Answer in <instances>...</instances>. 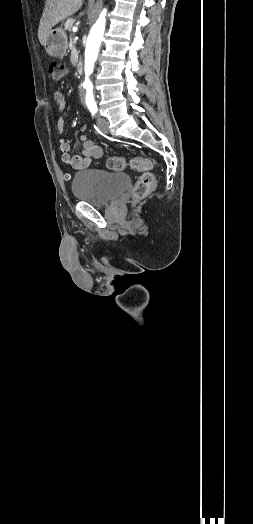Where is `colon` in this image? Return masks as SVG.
<instances>
[{
    "instance_id": "1",
    "label": "colon",
    "mask_w": 253,
    "mask_h": 524,
    "mask_svg": "<svg viewBox=\"0 0 253 524\" xmlns=\"http://www.w3.org/2000/svg\"><path fill=\"white\" fill-rule=\"evenodd\" d=\"M48 71L51 79L55 82H59L67 74L68 68L63 63L51 62L48 66ZM107 166L111 170L122 171L125 168V161L121 157H112L107 160ZM130 166L134 170L142 172L133 190V199L138 201L143 199L153 190L156 184V179L153 174L148 172L152 167V162L150 160L136 157L131 160Z\"/></svg>"
}]
</instances>
